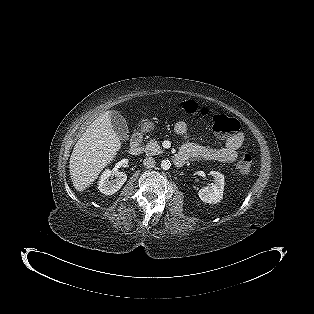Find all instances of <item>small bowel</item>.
<instances>
[{"label": "small bowel", "mask_w": 314, "mask_h": 314, "mask_svg": "<svg viewBox=\"0 0 314 314\" xmlns=\"http://www.w3.org/2000/svg\"><path fill=\"white\" fill-rule=\"evenodd\" d=\"M174 132L184 139L189 138L187 124L179 121L174 125ZM244 142L242 133L234 134L227 138L223 146L209 148L195 143L186 142L180 149L179 155L185 160L214 161L220 163H232L238 157V150Z\"/></svg>", "instance_id": "small-bowel-1"}]
</instances>
